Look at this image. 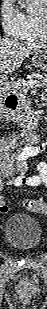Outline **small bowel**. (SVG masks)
<instances>
[{"label":"small bowel","mask_w":47,"mask_h":309,"mask_svg":"<svg viewBox=\"0 0 47 309\" xmlns=\"http://www.w3.org/2000/svg\"><path fill=\"white\" fill-rule=\"evenodd\" d=\"M16 138H9L2 143L0 189L7 187H36L47 183V164L33 161L46 150V144L26 146L12 152Z\"/></svg>","instance_id":"c3829d8e"}]
</instances>
